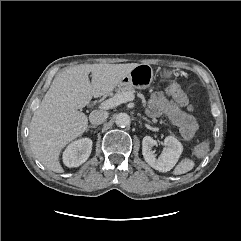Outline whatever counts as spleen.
<instances>
[{
	"instance_id": "3e777b00",
	"label": "spleen",
	"mask_w": 241,
	"mask_h": 241,
	"mask_svg": "<svg viewBox=\"0 0 241 241\" xmlns=\"http://www.w3.org/2000/svg\"><path fill=\"white\" fill-rule=\"evenodd\" d=\"M195 166V163L192 159L185 158L181 160L178 165L175 167L173 174L174 175H181L189 172Z\"/></svg>"
}]
</instances>
